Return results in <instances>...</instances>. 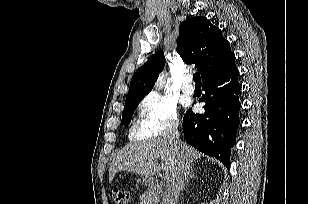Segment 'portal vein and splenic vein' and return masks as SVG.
Listing matches in <instances>:
<instances>
[{"mask_svg":"<svg viewBox=\"0 0 309 204\" xmlns=\"http://www.w3.org/2000/svg\"><path fill=\"white\" fill-rule=\"evenodd\" d=\"M170 178V176L168 175V174H166L165 176H164V180H168Z\"/></svg>","mask_w":309,"mask_h":204,"instance_id":"1","label":"portal vein and splenic vein"}]
</instances>
